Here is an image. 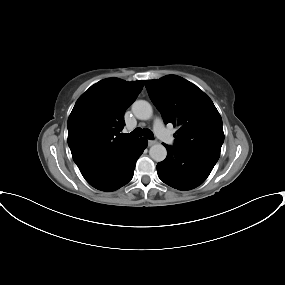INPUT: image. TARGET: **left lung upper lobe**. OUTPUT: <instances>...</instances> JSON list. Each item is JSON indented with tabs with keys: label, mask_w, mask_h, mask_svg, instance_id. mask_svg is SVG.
Masks as SVG:
<instances>
[{
	"label": "left lung upper lobe",
	"mask_w": 285,
	"mask_h": 285,
	"mask_svg": "<svg viewBox=\"0 0 285 285\" xmlns=\"http://www.w3.org/2000/svg\"><path fill=\"white\" fill-rule=\"evenodd\" d=\"M145 86L165 124L179 127L174 146L218 160L224 133L212 100L196 85L176 75L145 81Z\"/></svg>",
	"instance_id": "left-lung-upper-lobe-1"
}]
</instances>
